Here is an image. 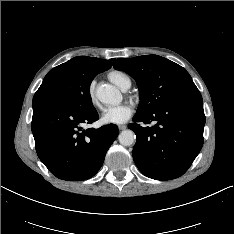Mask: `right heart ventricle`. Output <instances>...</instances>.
<instances>
[{
    "mask_svg": "<svg viewBox=\"0 0 234 234\" xmlns=\"http://www.w3.org/2000/svg\"><path fill=\"white\" fill-rule=\"evenodd\" d=\"M108 79L121 90L129 89L132 84L130 76L121 70L110 71L108 73Z\"/></svg>",
    "mask_w": 234,
    "mask_h": 234,
    "instance_id": "1",
    "label": "right heart ventricle"
}]
</instances>
